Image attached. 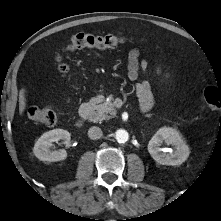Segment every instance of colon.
<instances>
[{"instance_id":"colon-1","label":"colon","mask_w":221,"mask_h":221,"mask_svg":"<svg viewBox=\"0 0 221 221\" xmlns=\"http://www.w3.org/2000/svg\"><path fill=\"white\" fill-rule=\"evenodd\" d=\"M124 40L125 38L120 33L107 35L78 33L70 38L66 49L70 51L85 48L108 50L116 48ZM58 70L64 76L69 73V67L65 63H59ZM204 99L211 110H215L221 105V94L214 87H207L204 90ZM28 116L31 120L46 126H53L58 120V114L54 109L41 106L30 107Z\"/></svg>"}]
</instances>
